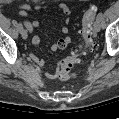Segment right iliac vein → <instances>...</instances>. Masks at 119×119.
Segmentation results:
<instances>
[{"mask_svg":"<svg viewBox=\"0 0 119 119\" xmlns=\"http://www.w3.org/2000/svg\"><path fill=\"white\" fill-rule=\"evenodd\" d=\"M20 32H21L22 38H23V39H27V37H28L27 31L23 28Z\"/></svg>","mask_w":119,"mask_h":119,"instance_id":"obj_1","label":"right iliac vein"}]
</instances>
